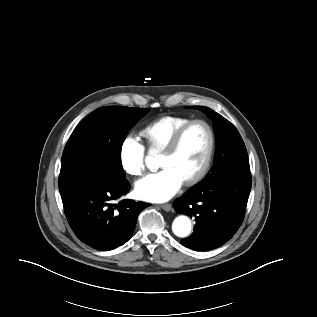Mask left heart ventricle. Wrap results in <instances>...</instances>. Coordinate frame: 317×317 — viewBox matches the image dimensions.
<instances>
[{"mask_svg":"<svg viewBox=\"0 0 317 317\" xmlns=\"http://www.w3.org/2000/svg\"><path fill=\"white\" fill-rule=\"evenodd\" d=\"M209 145V135L203 125H193L182 138L177 151L171 155H161V168H172L183 181L193 176L201 167Z\"/></svg>","mask_w":317,"mask_h":317,"instance_id":"1","label":"left heart ventricle"}]
</instances>
